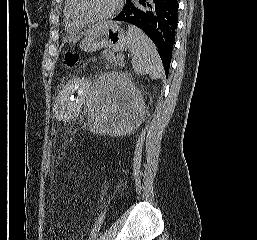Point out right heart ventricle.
<instances>
[{"mask_svg":"<svg viewBox=\"0 0 257 240\" xmlns=\"http://www.w3.org/2000/svg\"><path fill=\"white\" fill-rule=\"evenodd\" d=\"M64 26L67 32L69 33H77L79 32L82 27L75 24L72 19L70 18L69 12H68V0L65 3L64 7Z\"/></svg>","mask_w":257,"mask_h":240,"instance_id":"obj_1","label":"right heart ventricle"}]
</instances>
